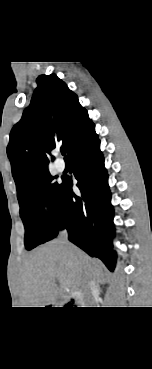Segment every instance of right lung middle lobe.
Segmentation results:
<instances>
[{
  "instance_id": "obj_1",
  "label": "right lung middle lobe",
  "mask_w": 152,
  "mask_h": 369,
  "mask_svg": "<svg viewBox=\"0 0 152 369\" xmlns=\"http://www.w3.org/2000/svg\"><path fill=\"white\" fill-rule=\"evenodd\" d=\"M53 179L50 174L46 175L18 199L27 250L51 240L58 229V202L63 184L53 182ZM45 205L50 211L49 218L45 217Z\"/></svg>"
}]
</instances>
